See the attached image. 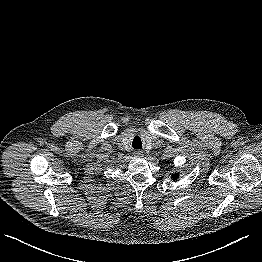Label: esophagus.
Masks as SVG:
<instances>
[{
	"instance_id": "obj_1",
	"label": "esophagus",
	"mask_w": 262,
	"mask_h": 262,
	"mask_svg": "<svg viewBox=\"0 0 262 262\" xmlns=\"http://www.w3.org/2000/svg\"><path fill=\"white\" fill-rule=\"evenodd\" d=\"M134 155H135L136 157H142V156H143V153H142L141 151H135V152H134Z\"/></svg>"
}]
</instances>
